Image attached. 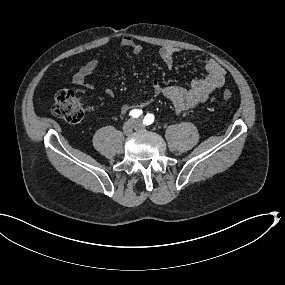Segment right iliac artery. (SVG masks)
I'll list each match as a JSON object with an SVG mask.
<instances>
[{"instance_id":"82829eb1","label":"right iliac artery","mask_w":285,"mask_h":285,"mask_svg":"<svg viewBox=\"0 0 285 285\" xmlns=\"http://www.w3.org/2000/svg\"><path fill=\"white\" fill-rule=\"evenodd\" d=\"M141 114H142V110H139V109H134L130 112V115L133 118H138Z\"/></svg>"}]
</instances>
